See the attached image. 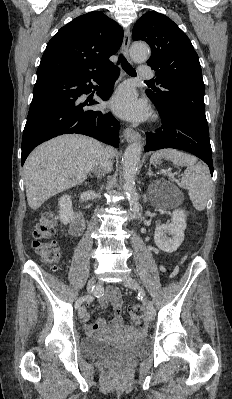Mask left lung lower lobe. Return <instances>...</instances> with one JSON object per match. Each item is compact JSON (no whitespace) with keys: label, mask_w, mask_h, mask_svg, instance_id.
I'll list each match as a JSON object with an SVG mask.
<instances>
[{"label":"left lung lower lobe","mask_w":232,"mask_h":399,"mask_svg":"<svg viewBox=\"0 0 232 399\" xmlns=\"http://www.w3.org/2000/svg\"><path fill=\"white\" fill-rule=\"evenodd\" d=\"M159 115L163 124L154 133L146 132L145 151L175 148L190 152L202 159L213 175L209 131L178 114H167L159 110Z\"/></svg>","instance_id":"0a47b994"}]
</instances>
